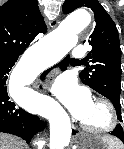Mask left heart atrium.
I'll list each match as a JSON object with an SVG mask.
<instances>
[{
	"label": "left heart atrium",
	"instance_id": "1",
	"mask_svg": "<svg viewBox=\"0 0 124 149\" xmlns=\"http://www.w3.org/2000/svg\"><path fill=\"white\" fill-rule=\"evenodd\" d=\"M51 90L72 116L78 120L86 117L94 103L89 90L78 85L73 77L66 74L54 80Z\"/></svg>",
	"mask_w": 124,
	"mask_h": 149
}]
</instances>
